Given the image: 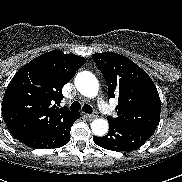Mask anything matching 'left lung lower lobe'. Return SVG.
<instances>
[{"instance_id": "1", "label": "left lung lower lobe", "mask_w": 182, "mask_h": 182, "mask_svg": "<svg viewBox=\"0 0 182 182\" xmlns=\"http://www.w3.org/2000/svg\"><path fill=\"white\" fill-rule=\"evenodd\" d=\"M110 129L104 137H93L94 142L105 149L113 151H131L144 145L155 130L109 121Z\"/></svg>"}]
</instances>
